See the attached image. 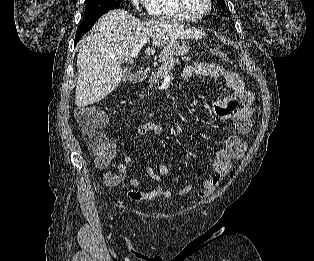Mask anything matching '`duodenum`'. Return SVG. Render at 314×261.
I'll return each instance as SVG.
<instances>
[{"mask_svg": "<svg viewBox=\"0 0 314 261\" xmlns=\"http://www.w3.org/2000/svg\"><path fill=\"white\" fill-rule=\"evenodd\" d=\"M145 78H146V74L144 71H138V72H135L131 78V81L133 84H141L145 81Z\"/></svg>", "mask_w": 314, "mask_h": 261, "instance_id": "obj_1", "label": "duodenum"}]
</instances>
